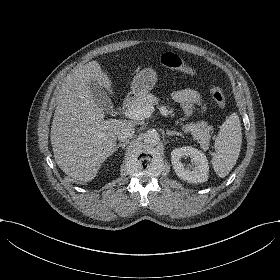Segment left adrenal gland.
Returning a JSON list of instances; mask_svg holds the SVG:
<instances>
[{
	"mask_svg": "<svg viewBox=\"0 0 280 280\" xmlns=\"http://www.w3.org/2000/svg\"><path fill=\"white\" fill-rule=\"evenodd\" d=\"M166 134L168 136H173V135H176V136H182V133L181 132H177L175 130H166Z\"/></svg>",
	"mask_w": 280,
	"mask_h": 280,
	"instance_id": "left-adrenal-gland-1",
	"label": "left adrenal gland"
}]
</instances>
